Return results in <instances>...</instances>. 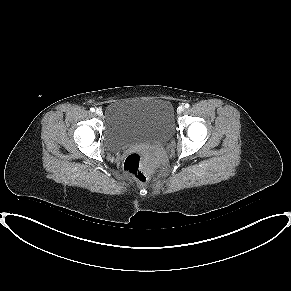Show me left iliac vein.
I'll list each match as a JSON object with an SVG mask.
<instances>
[{
    "label": "left iliac vein",
    "instance_id": "4c4485c4",
    "mask_svg": "<svg viewBox=\"0 0 291 291\" xmlns=\"http://www.w3.org/2000/svg\"><path fill=\"white\" fill-rule=\"evenodd\" d=\"M184 111V107L183 106H179L177 109V113L181 114Z\"/></svg>",
    "mask_w": 291,
    "mask_h": 291
}]
</instances>
